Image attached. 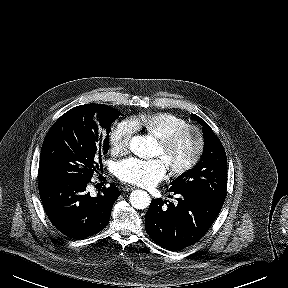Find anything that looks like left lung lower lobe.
Masks as SVG:
<instances>
[{"label": "left lung lower lobe", "mask_w": 288, "mask_h": 288, "mask_svg": "<svg viewBox=\"0 0 288 288\" xmlns=\"http://www.w3.org/2000/svg\"><path fill=\"white\" fill-rule=\"evenodd\" d=\"M171 195L176 196L175 203L152 199L145 229L155 243L176 251L193 245L206 234L223 203L194 193L171 192Z\"/></svg>", "instance_id": "obj_1"}]
</instances>
